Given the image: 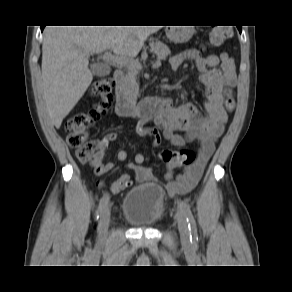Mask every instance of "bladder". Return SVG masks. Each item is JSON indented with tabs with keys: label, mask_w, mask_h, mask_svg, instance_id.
I'll return each mask as SVG.
<instances>
[{
	"label": "bladder",
	"mask_w": 292,
	"mask_h": 292,
	"mask_svg": "<svg viewBox=\"0 0 292 292\" xmlns=\"http://www.w3.org/2000/svg\"><path fill=\"white\" fill-rule=\"evenodd\" d=\"M165 197L158 185L140 184L132 188L125 196L122 216L133 227H153L163 216Z\"/></svg>",
	"instance_id": "31cf9c89"
}]
</instances>
